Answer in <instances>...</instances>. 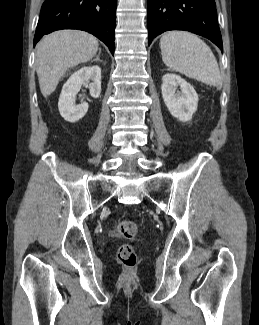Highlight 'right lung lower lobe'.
Returning <instances> with one entry per match:
<instances>
[{
    "mask_svg": "<svg viewBox=\"0 0 259 325\" xmlns=\"http://www.w3.org/2000/svg\"><path fill=\"white\" fill-rule=\"evenodd\" d=\"M117 0H45L34 36V46L45 34L60 29L87 31L114 55Z\"/></svg>",
    "mask_w": 259,
    "mask_h": 325,
    "instance_id": "98d812e1",
    "label": "right lung lower lobe"
}]
</instances>
